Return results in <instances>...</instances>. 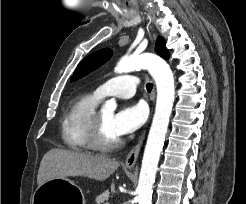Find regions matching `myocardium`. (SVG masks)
Listing matches in <instances>:
<instances>
[{
  "mask_svg": "<svg viewBox=\"0 0 246 204\" xmlns=\"http://www.w3.org/2000/svg\"><path fill=\"white\" fill-rule=\"evenodd\" d=\"M89 144L91 148L104 152L115 150L122 145V139L120 137L111 142L104 139L102 121L99 112L94 114L91 122L89 129Z\"/></svg>",
  "mask_w": 246,
  "mask_h": 204,
  "instance_id": "obj_1",
  "label": "myocardium"
}]
</instances>
